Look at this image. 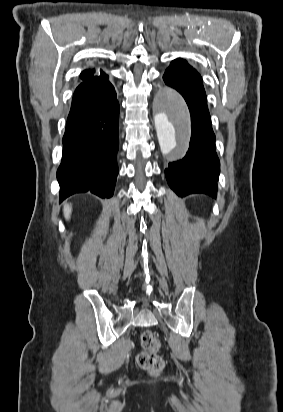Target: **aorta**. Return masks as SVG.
I'll list each match as a JSON object with an SVG mask.
<instances>
[{"label":"aorta","mask_w":283,"mask_h":412,"mask_svg":"<svg viewBox=\"0 0 283 412\" xmlns=\"http://www.w3.org/2000/svg\"><path fill=\"white\" fill-rule=\"evenodd\" d=\"M167 112L155 115V127L163 154L176 151L189 135V112L184 99L173 90H165Z\"/></svg>","instance_id":"aorta-1"}]
</instances>
